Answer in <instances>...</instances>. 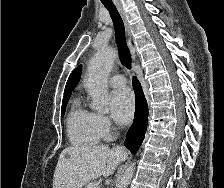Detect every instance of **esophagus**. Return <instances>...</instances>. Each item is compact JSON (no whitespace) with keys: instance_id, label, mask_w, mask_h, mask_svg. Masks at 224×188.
Masks as SVG:
<instances>
[{"instance_id":"34e87169","label":"esophagus","mask_w":224,"mask_h":188,"mask_svg":"<svg viewBox=\"0 0 224 188\" xmlns=\"http://www.w3.org/2000/svg\"><path fill=\"white\" fill-rule=\"evenodd\" d=\"M116 7L118 9V12H119L122 20H123V23H124V26H125L126 35H127L128 46L130 48L132 59H133V61H135V51H134V47L132 46V43H131V31H130V26H129L126 14H125L122 6L119 3L116 4Z\"/></svg>"}]
</instances>
